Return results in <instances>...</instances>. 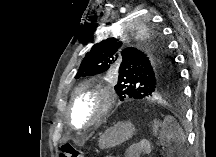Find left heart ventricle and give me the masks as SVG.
I'll use <instances>...</instances> for the list:
<instances>
[{"instance_id":"b2bd125f","label":"left heart ventricle","mask_w":216,"mask_h":157,"mask_svg":"<svg viewBox=\"0 0 216 157\" xmlns=\"http://www.w3.org/2000/svg\"><path fill=\"white\" fill-rule=\"evenodd\" d=\"M97 107L98 99L94 94H84L79 97L73 110L75 125L81 126L87 123L94 116Z\"/></svg>"}]
</instances>
